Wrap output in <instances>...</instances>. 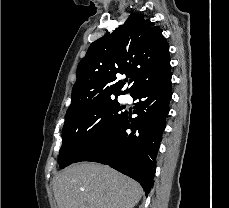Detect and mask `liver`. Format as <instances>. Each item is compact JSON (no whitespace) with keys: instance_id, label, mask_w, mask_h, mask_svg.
Returning a JSON list of instances; mask_svg holds the SVG:
<instances>
[{"instance_id":"6515ba94","label":"liver","mask_w":229,"mask_h":208,"mask_svg":"<svg viewBox=\"0 0 229 208\" xmlns=\"http://www.w3.org/2000/svg\"><path fill=\"white\" fill-rule=\"evenodd\" d=\"M58 208H134L141 186L109 166L95 162L72 164L53 180Z\"/></svg>"}]
</instances>
